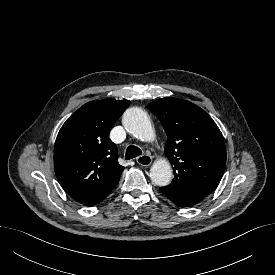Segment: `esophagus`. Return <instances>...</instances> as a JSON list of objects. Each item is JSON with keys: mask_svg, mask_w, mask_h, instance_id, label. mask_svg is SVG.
Listing matches in <instances>:
<instances>
[{"mask_svg": "<svg viewBox=\"0 0 275 275\" xmlns=\"http://www.w3.org/2000/svg\"><path fill=\"white\" fill-rule=\"evenodd\" d=\"M136 162L141 166H149L152 163V157L144 154L136 158Z\"/></svg>", "mask_w": 275, "mask_h": 275, "instance_id": "1", "label": "esophagus"}]
</instances>
